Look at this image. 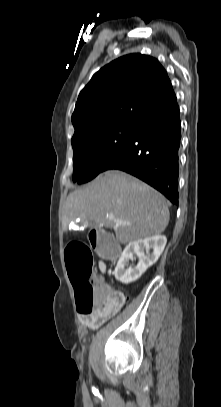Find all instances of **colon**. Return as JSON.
<instances>
[{
    "mask_svg": "<svg viewBox=\"0 0 221 407\" xmlns=\"http://www.w3.org/2000/svg\"><path fill=\"white\" fill-rule=\"evenodd\" d=\"M90 247L83 242H71L65 252L66 265L74 286L80 314H106L117 312L129 299L126 293L109 289L93 276V255H102L103 261H118L119 248L109 230L90 227ZM91 248V249H90Z\"/></svg>",
    "mask_w": 221,
    "mask_h": 407,
    "instance_id": "colon-1",
    "label": "colon"
}]
</instances>
